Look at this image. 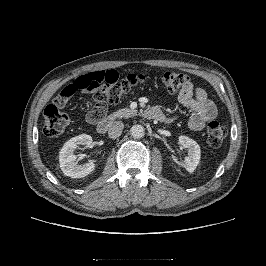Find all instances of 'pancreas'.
Listing matches in <instances>:
<instances>
[{
    "instance_id": "1",
    "label": "pancreas",
    "mask_w": 266,
    "mask_h": 266,
    "mask_svg": "<svg viewBox=\"0 0 266 266\" xmlns=\"http://www.w3.org/2000/svg\"><path fill=\"white\" fill-rule=\"evenodd\" d=\"M135 114H137V110H132L129 108H123V109H119L116 112H114L113 114H111L109 116V118L110 119L125 118V117L134 116Z\"/></svg>"
}]
</instances>
